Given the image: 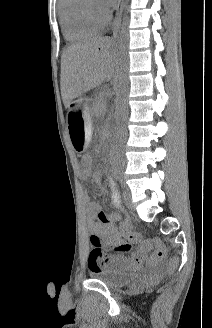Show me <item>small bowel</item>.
Instances as JSON below:
<instances>
[{"instance_id":"small-bowel-1","label":"small bowel","mask_w":212,"mask_h":328,"mask_svg":"<svg viewBox=\"0 0 212 328\" xmlns=\"http://www.w3.org/2000/svg\"><path fill=\"white\" fill-rule=\"evenodd\" d=\"M81 175L84 179H91L94 183L102 182V174L92 172V170H82ZM109 189L111 203L115 208L121 207L120 195L115 183L109 180ZM84 202L87 213V226L89 231L101 237L105 246L109 247L114 243L120 242L124 237H128L130 231V223L128 221L121 222L117 227L116 223L121 221V215L116 212H105L98 201L92 200L88 190L84 194ZM146 255V250L137 251L130 258L123 256H114L111 259V266L119 271H133L141 267ZM91 271L102 270L106 266L100 265L98 262L92 265L88 264Z\"/></svg>"}]
</instances>
